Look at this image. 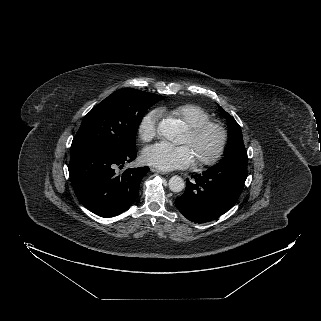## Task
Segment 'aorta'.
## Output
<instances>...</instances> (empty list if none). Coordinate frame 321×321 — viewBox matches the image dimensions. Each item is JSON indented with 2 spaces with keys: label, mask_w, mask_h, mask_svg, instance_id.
Masks as SVG:
<instances>
[{
  "label": "aorta",
  "mask_w": 321,
  "mask_h": 321,
  "mask_svg": "<svg viewBox=\"0 0 321 321\" xmlns=\"http://www.w3.org/2000/svg\"><path fill=\"white\" fill-rule=\"evenodd\" d=\"M158 131L164 138L171 142H177L182 134L180 124L172 118L162 120L159 123ZM168 185L172 192H181L185 187V182L180 176L175 175L169 179Z\"/></svg>",
  "instance_id": "1"
}]
</instances>
